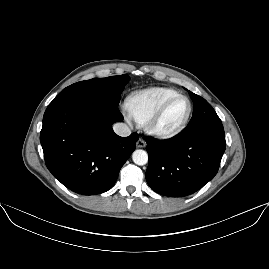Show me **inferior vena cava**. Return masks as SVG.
Masks as SVG:
<instances>
[{
    "mask_svg": "<svg viewBox=\"0 0 269 269\" xmlns=\"http://www.w3.org/2000/svg\"><path fill=\"white\" fill-rule=\"evenodd\" d=\"M114 132L122 137H127L131 134L130 128L124 123H116L113 125Z\"/></svg>",
    "mask_w": 269,
    "mask_h": 269,
    "instance_id": "602c4592",
    "label": "inferior vena cava"
}]
</instances>
